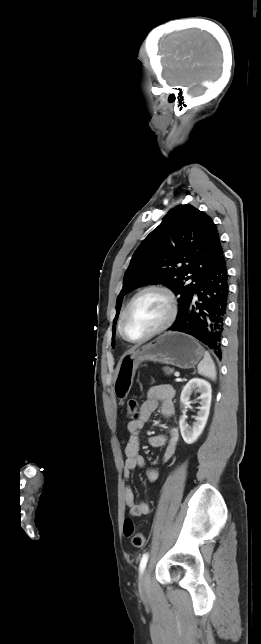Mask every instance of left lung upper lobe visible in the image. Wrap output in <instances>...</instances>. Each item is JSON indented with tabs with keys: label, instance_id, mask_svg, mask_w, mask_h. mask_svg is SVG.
<instances>
[{
	"label": "left lung upper lobe",
	"instance_id": "5c2ea615",
	"mask_svg": "<svg viewBox=\"0 0 261 644\" xmlns=\"http://www.w3.org/2000/svg\"><path fill=\"white\" fill-rule=\"evenodd\" d=\"M222 254L216 225L207 214L189 204L173 208L135 251L117 297V313L126 293L142 285L162 283L179 295L180 316Z\"/></svg>",
	"mask_w": 261,
	"mask_h": 644
}]
</instances>
